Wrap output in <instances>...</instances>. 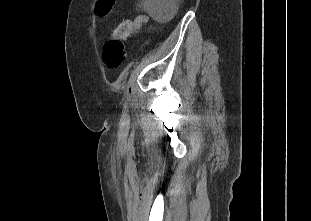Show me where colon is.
Listing matches in <instances>:
<instances>
[{"label":"colon","mask_w":311,"mask_h":221,"mask_svg":"<svg viewBox=\"0 0 311 221\" xmlns=\"http://www.w3.org/2000/svg\"><path fill=\"white\" fill-rule=\"evenodd\" d=\"M114 0H103V2H97L94 8L95 17H100L101 20L107 19V9H111ZM132 22H121L115 29V34L120 36L126 34L129 36L132 29ZM124 41H118V39L109 40L103 48V60L109 69H117L120 67L125 58Z\"/></svg>","instance_id":"colon-1"}]
</instances>
